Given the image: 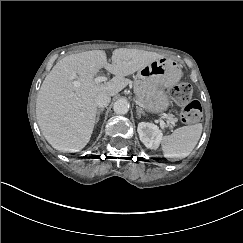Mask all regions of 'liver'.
Segmentation results:
<instances>
[{"instance_id":"liver-1","label":"liver","mask_w":243,"mask_h":243,"mask_svg":"<svg viewBox=\"0 0 243 243\" xmlns=\"http://www.w3.org/2000/svg\"><path fill=\"white\" fill-rule=\"evenodd\" d=\"M164 56L138 49L119 48L107 62L104 50L71 54L52 68L45 77L36 100V118L42 134L56 150L78 152L93 132L99 93L118 94L130 82L125 76L139 71ZM115 75L99 84L93 80L101 68Z\"/></svg>"}]
</instances>
